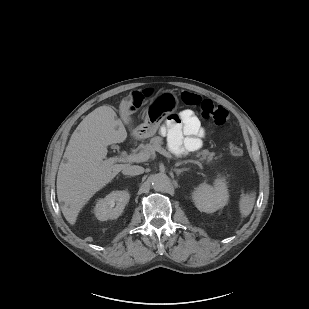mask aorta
Returning a JSON list of instances; mask_svg holds the SVG:
<instances>
[{
  "label": "aorta",
  "instance_id": "1",
  "mask_svg": "<svg viewBox=\"0 0 309 309\" xmlns=\"http://www.w3.org/2000/svg\"><path fill=\"white\" fill-rule=\"evenodd\" d=\"M152 187L156 191H165L170 185L169 177L164 173H158L152 176Z\"/></svg>",
  "mask_w": 309,
  "mask_h": 309
}]
</instances>
